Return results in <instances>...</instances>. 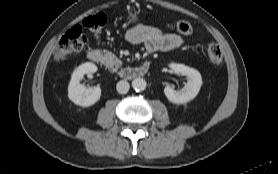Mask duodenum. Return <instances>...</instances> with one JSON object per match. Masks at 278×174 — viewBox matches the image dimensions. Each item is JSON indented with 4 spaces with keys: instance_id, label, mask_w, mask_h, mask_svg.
<instances>
[{
    "instance_id": "410a0bca",
    "label": "duodenum",
    "mask_w": 278,
    "mask_h": 174,
    "mask_svg": "<svg viewBox=\"0 0 278 174\" xmlns=\"http://www.w3.org/2000/svg\"><path fill=\"white\" fill-rule=\"evenodd\" d=\"M87 57L90 61L94 63H100L102 60V54L99 50H90L87 53ZM149 69V63L144 62L143 64L136 67H125L120 70V76L124 79H134L144 76Z\"/></svg>"
}]
</instances>
